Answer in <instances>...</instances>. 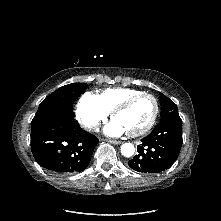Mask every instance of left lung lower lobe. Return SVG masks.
<instances>
[{
  "mask_svg": "<svg viewBox=\"0 0 221 221\" xmlns=\"http://www.w3.org/2000/svg\"><path fill=\"white\" fill-rule=\"evenodd\" d=\"M138 154L128 162L135 171L158 173L172 166L178 158L182 146V120L168 117L141 140Z\"/></svg>",
  "mask_w": 221,
  "mask_h": 221,
  "instance_id": "1",
  "label": "left lung lower lobe"
}]
</instances>
